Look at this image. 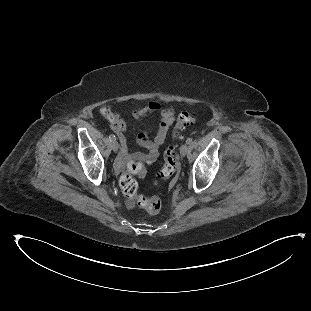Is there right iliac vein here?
I'll return each mask as SVG.
<instances>
[{"label": "right iliac vein", "instance_id": "1", "mask_svg": "<svg viewBox=\"0 0 311 311\" xmlns=\"http://www.w3.org/2000/svg\"><path fill=\"white\" fill-rule=\"evenodd\" d=\"M111 147H112V150H113L114 152H117L118 149H119V144H118V142H117L116 140H113L112 143H111Z\"/></svg>", "mask_w": 311, "mask_h": 311}]
</instances>
